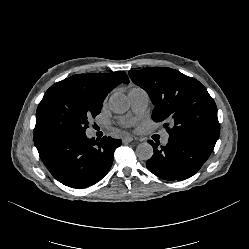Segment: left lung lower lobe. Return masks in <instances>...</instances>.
<instances>
[{"label":"left lung lower lobe","mask_w":249,"mask_h":249,"mask_svg":"<svg viewBox=\"0 0 249 249\" xmlns=\"http://www.w3.org/2000/svg\"><path fill=\"white\" fill-rule=\"evenodd\" d=\"M217 138L187 131L169 133L168 143L148 142L154 154L147 160V168L156 176L169 180H184L193 176L209 158Z\"/></svg>","instance_id":"obj_1"}]
</instances>
